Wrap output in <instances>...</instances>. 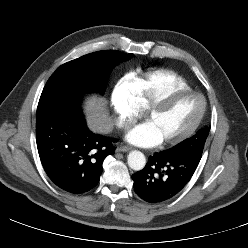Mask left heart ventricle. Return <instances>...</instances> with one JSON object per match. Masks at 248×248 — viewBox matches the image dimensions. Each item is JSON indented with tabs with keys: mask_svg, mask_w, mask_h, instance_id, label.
Instances as JSON below:
<instances>
[{
	"mask_svg": "<svg viewBox=\"0 0 248 248\" xmlns=\"http://www.w3.org/2000/svg\"><path fill=\"white\" fill-rule=\"evenodd\" d=\"M200 110V98L188 95L176 99L165 108L149 115L146 120L152 124L163 141L186 131L194 123Z\"/></svg>",
	"mask_w": 248,
	"mask_h": 248,
	"instance_id": "obj_1",
	"label": "left heart ventricle"
}]
</instances>
